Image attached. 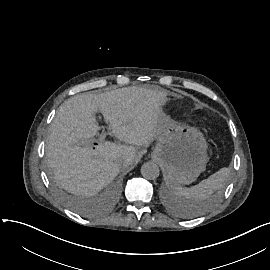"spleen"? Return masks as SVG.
I'll return each mask as SVG.
<instances>
[{
  "mask_svg": "<svg viewBox=\"0 0 270 270\" xmlns=\"http://www.w3.org/2000/svg\"><path fill=\"white\" fill-rule=\"evenodd\" d=\"M229 175L230 169L224 167L191 188H182L170 183H168V187L185 210L195 213L194 210H197L198 204L202 200H205L213 191L220 190L225 186Z\"/></svg>",
  "mask_w": 270,
  "mask_h": 270,
  "instance_id": "3e777b00",
  "label": "spleen"
}]
</instances>
